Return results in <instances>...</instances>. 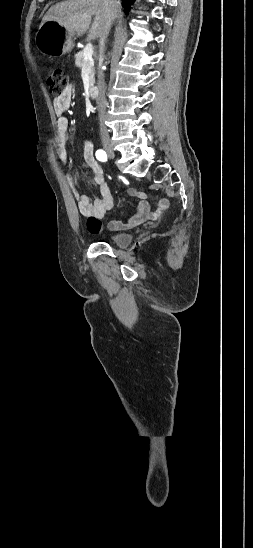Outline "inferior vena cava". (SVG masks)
Wrapping results in <instances>:
<instances>
[{
	"label": "inferior vena cava",
	"instance_id": "obj_1",
	"mask_svg": "<svg viewBox=\"0 0 253 548\" xmlns=\"http://www.w3.org/2000/svg\"><path fill=\"white\" fill-rule=\"evenodd\" d=\"M119 1L117 0H102V6H103V12H104V23L103 27L101 29L100 35H99V53H100V61L103 62V52H104V46L106 39L108 37L112 21L114 17L117 15V12L119 10ZM98 87H99V96L97 98V106H98V125L100 126V134L101 138L103 140L109 139L108 130L105 127L106 125V117H105V110H106V98H105V80H104V74L103 71H99L98 75Z\"/></svg>",
	"mask_w": 253,
	"mask_h": 548
}]
</instances>
